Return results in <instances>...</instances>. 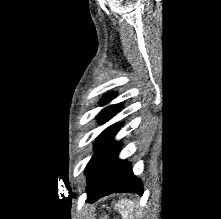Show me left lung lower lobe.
Instances as JSON below:
<instances>
[{"mask_svg":"<svg viewBox=\"0 0 221 219\" xmlns=\"http://www.w3.org/2000/svg\"><path fill=\"white\" fill-rule=\"evenodd\" d=\"M121 124L114 126L98 144L86 167L87 198L94 202L116 192L143 194L141 181L133 174L131 165L118 158L121 144L112 141Z\"/></svg>","mask_w":221,"mask_h":219,"instance_id":"1","label":"left lung lower lobe"}]
</instances>
